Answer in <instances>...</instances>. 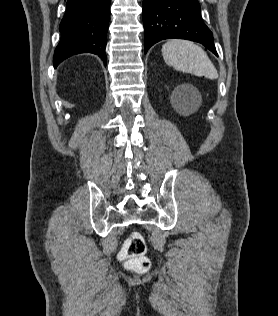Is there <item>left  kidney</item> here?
<instances>
[{"label": "left kidney", "mask_w": 278, "mask_h": 316, "mask_svg": "<svg viewBox=\"0 0 278 316\" xmlns=\"http://www.w3.org/2000/svg\"><path fill=\"white\" fill-rule=\"evenodd\" d=\"M198 96V91L195 87L189 84L178 86L173 92V101L177 105H186L194 101Z\"/></svg>", "instance_id": "obj_1"}]
</instances>
